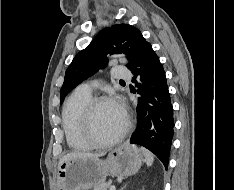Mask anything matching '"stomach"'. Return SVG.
<instances>
[{"label": "stomach", "instance_id": "0dacf381", "mask_svg": "<svg viewBox=\"0 0 234 190\" xmlns=\"http://www.w3.org/2000/svg\"><path fill=\"white\" fill-rule=\"evenodd\" d=\"M143 161L141 150L129 143L113 149L105 160L93 157L67 160L58 167L57 190H90L104 183L108 176L135 174Z\"/></svg>", "mask_w": 234, "mask_h": 190}]
</instances>
